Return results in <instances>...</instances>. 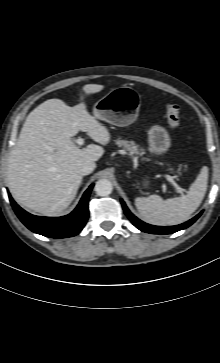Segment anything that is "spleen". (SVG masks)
<instances>
[{
	"label": "spleen",
	"mask_w": 220,
	"mask_h": 363,
	"mask_svg": "<svg viewBox=\"0 0 220 363\" xmlns=\"http://www.w3.org/2000/svg\"><path fill=\"white\" fill-rule=\"evenodd\" d=\"M208 170L203 168L186 195L163 200L158 195L138 197L136 208L141 217L154 225H177L189 219L200 206L207 191Z\"/></svg>",
	"instance_id": "obj_1"
}]
</instances>
